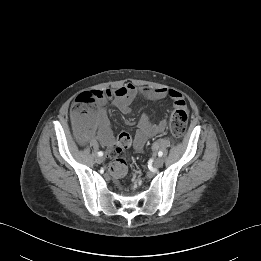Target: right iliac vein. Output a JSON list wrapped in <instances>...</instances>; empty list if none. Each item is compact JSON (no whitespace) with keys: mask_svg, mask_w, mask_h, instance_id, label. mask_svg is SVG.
<instances>
[{"mask_svg":"<svg viewBox=\"0 0 261 261\" xmlns=\"http://www.w3.org/2000/svg\"><path fill=\"white\" fill-rule=\"evenodd\" d=\"M103 161H104V158L101 157V156H99V157L96 158V162H97L98 164L103 163Z\"/></svg>","mask_w":261,"mask_h":261,"instance_id":"right-iliac-vein-1","label":"right iliac vein"}]
</instances>
